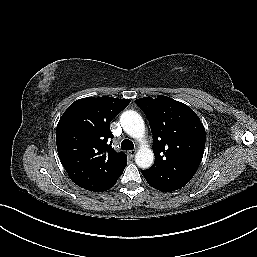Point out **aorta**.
<instances>
[{"label":"aorta","instance_id":"1","mask_svg":"<svg viewBox=\"0 0 257 257\" xmlns=\"http://www.w3.org/2000/svg\"><path fill=\"white\" fill-rule=\"evenodd\" d=\"M124 131L132 138L141 140L145 134V125L142 117L136 111H125L120 118ZM154 161L153 151L147 146H141L135 156L138 167L147 169L152 166Z\"/></svg>","mask_w":257,"mask_h":257}]
</instances>
